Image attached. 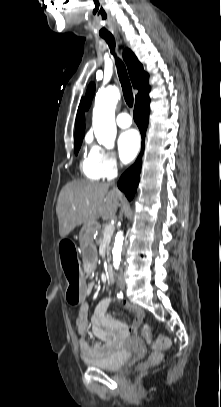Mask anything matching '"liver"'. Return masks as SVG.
<instances>
[{"label":"liver","mask_w":221,"mask_h":407,"mask_svg":"<svg viewBox=\"0 0 221 407\" xmlns=\"http://www.w3.org/2000/svg\"><path fill=\"white\" fill-rule=\"evenodd\" d=\"M109 187L107 183L73 181L62 188L56 206L62 239L81 224H95L99 217L108 220L115 216L121 195Z\"/></svg>","instance_id":"obj_1"}]
</instances>
